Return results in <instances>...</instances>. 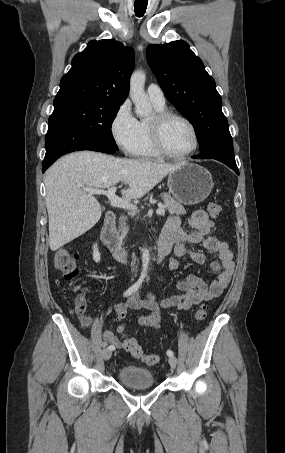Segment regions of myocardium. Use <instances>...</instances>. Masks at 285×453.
<instances>
[{
  "label": "myocardium",
  "instance_id": "myocardium-1",
  "mask_svg": "<svg viewBox=\"0 0 285 453\" xmlns=\"http://www.w3.org/2000/svg\"><path fill=\"white\" fill-rule=\"evenodd\" d=\"M171 119L183 121L190 128L193 135V146L190 150L182 154H176L169 151L164 143L163 131L166 123ZM151 142L159 155L171 159H185L196 152L199 146V136L195 125L187 117L172 111L157 112L151 120L148 121Z\"/></svg>",
  "mask_w": 285,
  "mask_h": 453
}]
</instances>
